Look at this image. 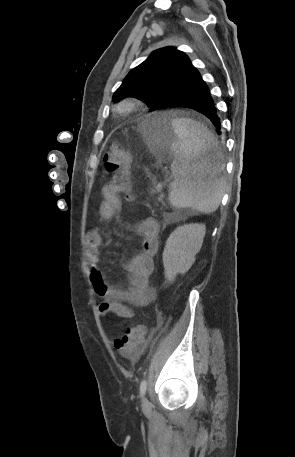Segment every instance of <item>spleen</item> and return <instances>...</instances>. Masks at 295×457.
<instances>
[{
    "instance_id": "spleen-1",
    "label": "spleen",
    "mask_w": 295,
    "mask_h": 457,
    "mask_svg": "<svg viewBox=\"0 0 295 457\" xmlns=\"http://www.w3.org/2000/svg\"><path fill=\"white\" fill-rule=\"evenodd\" d=\"M177 142L172 144L174 159L171 170L175 176L169 201L176 208H192L210 214L220 205L225 179L219 176L222 153L218 141L203 124L188 118L172 120ZM215 151L214 163L202 155Z\"/></svg>"
}]
</instances>
